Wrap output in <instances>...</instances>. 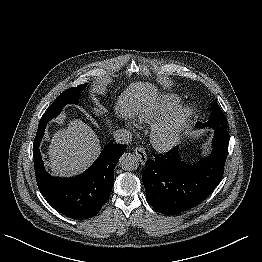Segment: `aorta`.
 <instances>
[{
    "instance_id": "aorta-1",
    "label": "aorta",
    "mask_w": 262,
    "mask_h": 262,
    "mask_svg": "<svg viewBox=\"0 0 262 262\" xmlns=\"http://www.w3.org/2000/svg\"><path fill=\"white\" fill-rule=\"evenodd\" d=\"M139 161L134 154L125 153L119 159V166L127 171H132L137 169Z\"/></svg>"
}]
</instances>
